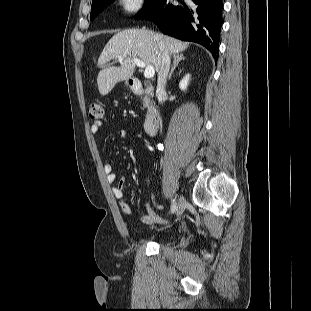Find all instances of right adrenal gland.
I'll list each match as a JSON object with an SVG mask.
<instances>
[{
    "label": "right adrenal gland",
    "instance_id": "obj_1",
    "mask_svg": "<svg viewBox=\"0 0 311 311\" xmlns=\"http://www.w3.org/2000/svg\"><path fill=\"white\" fill-rule=\"evenodd\" d=\"M184 59H185V58L183 57V55H177V56H175V57L173 58V66H172V68H171V71H170V73H169V75H168L167 80H170V79H171L174 70L176 69V67L178 66V64H179L182 60H184Z\"/></svg>",
    "mask_w": 311,
    "mask_h": 311
}]
</instances>
